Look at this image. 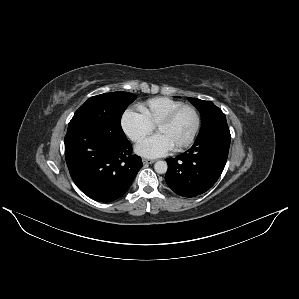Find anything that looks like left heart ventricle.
<instances>
[{"instance_id": "1", "label": "left heart ventricle", "mask_w": 299, "mask_h": 299, "mask_svg": "<svg viewBox=\"0 0 299 299\" xmlns=\"http://www.w3.org/2000/svg\"><path fill=\"white\" fill-rule=\"evenodd\" d=\"M195 123L194 113L189 109H185L170 124L158 128L157 132L164 135L175 148L190 137Z\"/></svg>"}]
</instances>
